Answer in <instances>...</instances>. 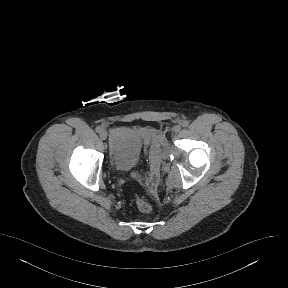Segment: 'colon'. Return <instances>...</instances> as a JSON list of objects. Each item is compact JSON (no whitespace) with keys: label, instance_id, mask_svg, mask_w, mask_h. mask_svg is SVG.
<instances>
[{"label":"colon","instance_id":"1","mask_svg":"<svg viewBox=\"0 0 288 288\" xmlns=\"http://www.w3.org/2000/svg\"><path fill=\"white\" fill-rule=\"evenodd\" d=\"M135 205L140 213H148L152 209L151 205L147 202V200L139 196L135 198Z\"/></svg>","mask_w":288,"mask_h":288}]
</instances>
